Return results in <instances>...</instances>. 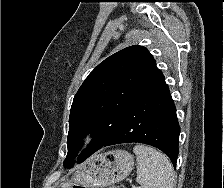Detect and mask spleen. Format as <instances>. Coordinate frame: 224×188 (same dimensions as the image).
I'll return each instance as SVG.
<instances>
[{"label": "spleen", "mask_w": 224, "mask_h": 188, "mask_svg": "<svg viewBox=\"0 0 224 188\" xmlns=\"http://www.w3.org/2000/svg\"><path fill=\"white\" fill-rule=\"evenodd\" d=\"M137 178L139 188H174L173 167L168 158L153 147L137 144Z\"/></svg>", "instance_id": "3e777b00"}]
</instances>
